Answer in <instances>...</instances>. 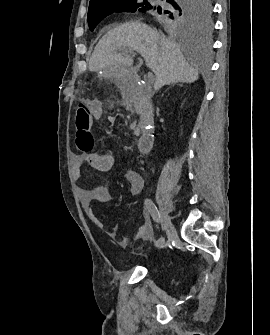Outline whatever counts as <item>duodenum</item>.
<instances>
[{
    "label": "duodenum",
    "instance_id": "obj_1",
    "mask_svg": "<svg viewBox=\"0 0 270 335\" xmlns=\"http://www.w3.org/2000/svg\"><path fill=\"white\" fill-rule=\"evenodd\" d=\"M125 97V106L128 110L135 111L140 116V135L137 140L138 150L146 154L153 145V110L146 97V90L134 80H127L122 85Z\"/></svg>",
    "mask_w": 270,
    "mask_h": 335
}]
</instances>
